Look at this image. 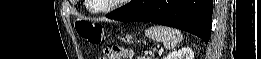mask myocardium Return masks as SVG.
Listing matches in <instances>:
<instances>
[{"instance_id": "f54148a6", "label": "myocardium", "mask_w": 261, "mask_h": 59, "mask_svg": "<svg viewBox=\"0 0 261 59\" xmlns=\"http://www.w3.org/2000/svg\"><path fill=\"white\" fill-rule=\"evenodd\" d=\"M124 1L126 0H116L115 3H113L112 5L106 7V8H100V9H91L95 12H98V13H108L114 9H116L117 7L120 6L121 3H123Z\"/></svg>"}]
</instances>
